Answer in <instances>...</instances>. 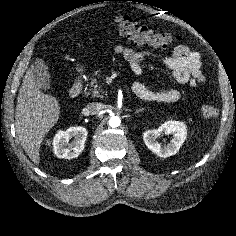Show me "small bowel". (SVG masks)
I'll list each match as a JSON object with an SVG mask.
<instances>
[{
	"instance_id": "c3829d8e",
	"label": "small bowel",
	"mask_w": 236,
	"mask_h": 236,
	"mask_svg": "<svg viewBox=\"0 0 236 236\" xmlns=\"http://www.w3.org/2000/svg\"><path fill=\"white\" fill-rule=\"evenodd\" d=\"M116 54L121 55L128 63L131 71L137 77L143 74V60L155 58L171 72L174 80L181 85L198 88L205 85V77L201 71V55L186 45L177 46L168 56H153L146 51H135L124 45H116ZM133 92L142 100L156 103H174L179 100L181 93L177 89L154 91L142 82H135Z\"/></svg>"
}]
</instances>
